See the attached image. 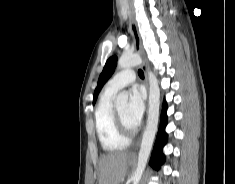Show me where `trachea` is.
Wrapping results in <instances>:
<instances>
[{
    "label": "trachea",
    "mask_w": 235,
    "mask_h": 184,
    "mask_svg": "<svg viewBox=\"0 0 235 184\" xmlns=\"http://www.w3.org/2000/svg\"><path fill=\"white\" fill-rule=\"evenodd\" d=\"M138 74H139V77H141V79L144 78V73L142 70H138Z\"/></svg>",
    "instance_id": "obj_1"
}]
</instances>
